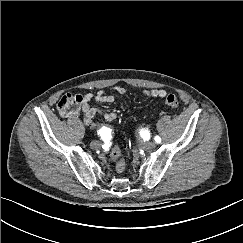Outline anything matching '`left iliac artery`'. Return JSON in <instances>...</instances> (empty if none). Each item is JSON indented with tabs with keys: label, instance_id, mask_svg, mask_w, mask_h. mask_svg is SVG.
<instances>
[{
	"label": "left iliac artery",
	"instance_id": "left-iliac-artery-1",
	"mask_svg": "<svg viewBox=\"0 0 243 243\" xmlns=\"http://www.w3.org/2000/svg\"><path fill=\"white\" fill-rule=\"evenodd\" d=\"M156 143H160L161 142V138L159 136H155L154 138Z\"/></svg>",
	"mask_w": 243,
	"mask_h": 243
}]
</instances>
